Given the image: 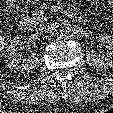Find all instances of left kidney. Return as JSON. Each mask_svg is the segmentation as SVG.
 Here are the masks:
<instances>
[{
	"label": "left kidney",
	"instance_id": "obj_1",
	"mask_svg": "<svg viewBox=\"0 0 113 113\" xmlns=\"http://www.w3.org/2000/svg\"><path fill=\"white\" fill-rule=\"evenodd\" d=\"M97 39L107 44V52L105 55L90 53L86 57L87 62L98 69L113 68V37L106 33H100Z\"/></svg>",
	"mask_w": 113,
	"mask_h": 113
}]
</instances>
